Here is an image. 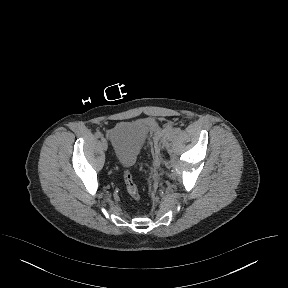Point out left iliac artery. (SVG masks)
<instances>
[{
  "label": "left iliac artery",
  "mask_w": 288,
  "mask_h": 288,
  "mask_svg": "<svg viewBox=\"0 0 288 288\" xmlns=\"http://www.w3.org/2000/svg\"><path fill=\"white\" fill-rule=\"evenodd\" d=\"M180 132V128H176L174 129V131L172 132V134H178Z\"/></svg>",
  "instance_id": "obj_1"
}]
</instances>
